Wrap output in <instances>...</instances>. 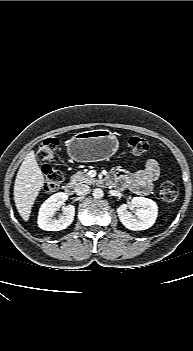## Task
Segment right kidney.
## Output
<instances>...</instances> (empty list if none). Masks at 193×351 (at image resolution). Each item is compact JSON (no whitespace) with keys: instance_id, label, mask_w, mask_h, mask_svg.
Here are the masks:
<instances>
[{"instance_id":"1","label":"right kidney","mask_w":193,"mask_h":351,"mask_svg":"<svg viewBox=\"0 0 193 351\" xmlns=\"http://www.w3.org/2000/svg\"><path fill=\"white\" fill-rule=\"evenodd\" d=\"M68 199L63 192L50 196L40 207L38 214V226L45 231H60L66 229L74 220L75 207L68 205L63 208L62 216L53 219L57 209Z\"/></svg>"}]
</instances>
